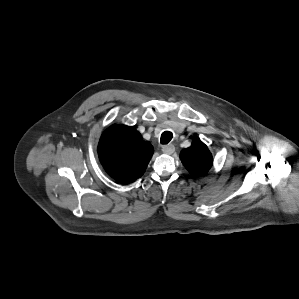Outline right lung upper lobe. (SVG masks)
<instances>
[{
    "label": "right lung upper lobe",
    "instance_id": "cb5924a9",
    "mask_svg": "<svg viewBox=\"0 0 299 299\" xmlns=\"http://www.w3.org/2000/svg\"><path fill=\"white\" fill-rule=\"evenodd\" d=\"M98 155L112 178L129 183L144 174L153 149L133 127L112 125L100 138Z\"/></svg>",
    "mask_w": 299,
    "mask_h": 299
}]
</instances>
